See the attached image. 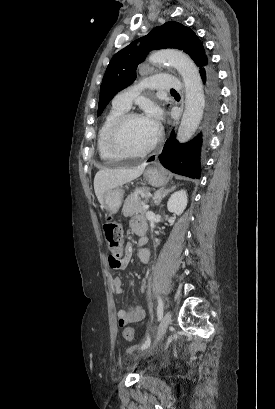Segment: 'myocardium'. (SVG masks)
Segmentation results:
<instances>
[{
  "mask_svg": "<svg viewBox=\"0 0 275 409\" xmlns=\"http://www.w3.org/2000/svg\"><path fill=\"white\" fill-rule=\"evenodd\" d=\"M140 118H143V116L139 113L127 112L113 123L108 137V149L111 155L114 157H139L150 153L157 146L161 138V132L158 130L151 142L142 149L129 150L120 144V137L125 126L129 122Z\"/></svg>",
  "mask_w": 275,
  "mask_h": 409,
  "instance_id": "f54148a6",
  "label": "myocardium"
}]
</instances>
